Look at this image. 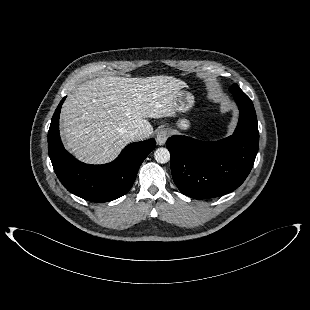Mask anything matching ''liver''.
<instances>
[{
    "label": "liver",
    "instance_id": "liver-1",
    "mask_svg": "<svg viewBox=\"0 0 310 310\" xmlns=\"http://www.w3.org/2000/svg\"><path fill=\"white\" fill-rule=\"evenodd\" d=\"M187 84L172 76L124 78L105 76L86 81L61 110V135L79 160L102 164L113 160L132 140L128 133H153L147 118L175 117V97Z\"/></svg>",
    "mask_w": 310,
    "mask_h": 310
}]
</instances>
